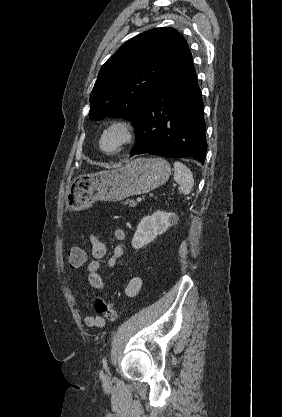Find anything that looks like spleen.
Listing matches in <instances>:
<instances>
[{
  "mask_svg": "<svg viewBox=\"0 0 282 417\" xmlns=\"http://www.w3.org/2000/svg\"><path fill=\"white\" fill-rule=\"evenodd\" d=\"M173 166L174 180L180 184L179 192H182V194H189L194 184V178L190 168L185 166L183 162H174Z\"/></svg>",
  "mask_w": 282,
  "mask_h": 417,
  "instance_id": "3e777b00",
  "label": "spleen"
}]
</instances>
